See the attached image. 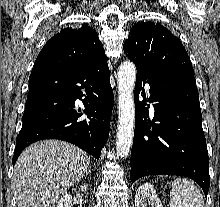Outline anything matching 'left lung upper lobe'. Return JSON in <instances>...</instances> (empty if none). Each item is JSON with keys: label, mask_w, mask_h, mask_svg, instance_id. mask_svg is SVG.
Instances as JSON below:
<instances>
[{"label": "left lung upper lobe", "mask_w": 220, "mask_h": 207, "mask_svg": "<svg viewBox=\"0 0 220 207\" xmlns=\"http://www.w3.org/2000/svg\"><path fill=\"white\" fill-rule=\"evenodd\" d=\"M123 48L136 68L152 75L182 72L194 76L191 61L179 38L158 23L141 21L133 26Z\"/></svg>", "instance_id": "1"}]
</instances>
